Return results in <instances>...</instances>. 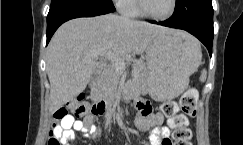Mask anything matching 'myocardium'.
<instances>
[{
	"label": "myocardium",
	"mask_w": 243,
	"mask_h": 145,
	"mask_svg": "<svg viewBox=\"0 0 243 145\" xmlns=\"http://www.w3.org/2000/svg\"><path fill=\"white\" fill-rule=\"evenodd\" d=\"M177 4H178L177 0H172V6H171L170 11L165 15L156 16V15L149 13L145 9V7L143 5V0H135V5H136V8H137V11L139 12V14L144 17H147L149 19L156 20V21H164V20L171 18L174 15V13L176 12Z\"/></svg>",
	"instance_id": "f54148a6"
}]
</instances>
